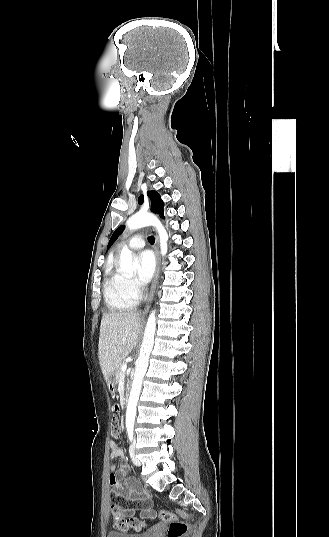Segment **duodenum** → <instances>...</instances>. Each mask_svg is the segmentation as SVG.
I'll return each instance as SVG.
<instances>
[{"mask_svg":"<svg viewBox=\"0 0 329 537\" xmlns=\"http://www.w3.org/2000/svg\"><path fill=\"white\" fill-rule=\"evenodd\" d=\"M129 397V392L127 391L124 396V401L127 402Z\"/></svg>","mask_w":329,"mask_h":537,"instance_id":"1","label":"duodenum"}]
</instances>
